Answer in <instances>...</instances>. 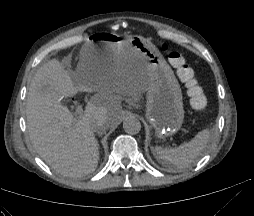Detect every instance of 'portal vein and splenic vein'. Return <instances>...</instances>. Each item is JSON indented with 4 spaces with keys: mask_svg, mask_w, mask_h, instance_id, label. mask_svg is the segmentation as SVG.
Listing matches in <instances>:
<instances>
[{
    "mask_svg": "<svg viewBox=\"0 0 254 216\" xmlns=\"http://www.w3.org/2000/svg\"><path fill=\"white\" fill-rule=\"evenodd\" d=\"M76 113H77V115H79V116H81V115L83 114V108H82L81 105H78V106L76 107Z\"/></svg>",
    "mask_w": 254,
    "mask_h": 216,
    "instance_id": "obj_1",
    "label": "portal vein and splenic vein"
}]
</instances>
